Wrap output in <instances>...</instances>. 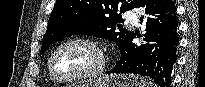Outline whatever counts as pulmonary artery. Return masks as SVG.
I'll return each instance as SVG.
<instances>
[{"label":"pulmonary artery","mask_w":205,"mask_h":87,"mask_svg":"<svg viewBox=\"0 0 205 87\" xmlns=\"http://www.w3.org/2000/svg\"><path fill=\"white\" fill-rule=\"evenodd\" d=\"M125 17H126L127 21H129L133 25H136L138 23V18L136 16V14H134L132 12L126 13Z\"/></svg>","instance_id":"pulmonary-artery-1"}]
</instances>
